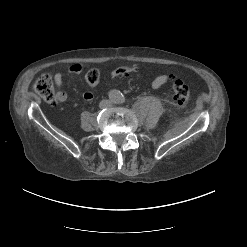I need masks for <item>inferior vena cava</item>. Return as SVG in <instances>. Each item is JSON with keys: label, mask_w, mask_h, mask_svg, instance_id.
Returning <instances> with one entry per match:
<instances>
[{"label": "inferior vena cava", "mask_w": 247, "mask_h": 247, "mask_svg": "<svg viewBox=\"0 0 247 247\" xmlns=\"http://www.w3.org/2000/svg\"><path fill=\"white\" fill-rule=\"evenodd\" d=\"M111 104L110 100H102L100 103H99V107L100 108H107L109 107Z\"/></svg>", "instance_id": "1"}]
</instances>
